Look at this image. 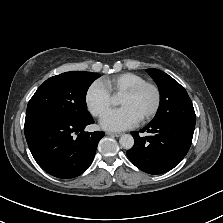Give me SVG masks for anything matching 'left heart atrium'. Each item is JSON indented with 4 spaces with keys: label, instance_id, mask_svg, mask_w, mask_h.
<instances>
[{
    "label": "left heart atrium",
    "instance_id": "1",
    "mask_svg": "<svg viewBox=\"0 0 223 223\" xmlns=\"http://www.w3.org/2000/svg\"><path fill=\"white\" fill-rule=\"evenodd\" d=\"M139 121V118L129 107H121L106 113L101 119V125L108 130H125Z\"/></svg>",
    "mask_w": 223,
    "mask_h": 223
}]
</instances>
